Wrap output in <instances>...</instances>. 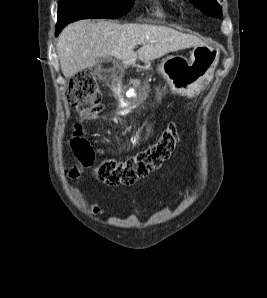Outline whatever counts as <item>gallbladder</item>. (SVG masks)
<instances>
[{
  "mask_svg": "<svg viewBox=\"0 0 267 298\" xmlns=\"http://www.w3.org/2000/svg\"><path fill=\"white\" fill-rule=\"evenodd\" d=\"M106 60H112V58L111 57L99 58V59H97V63L102 62V61H106Z\"/></svg>",
  "mask_w": 267,
  "mask_h": 298,
  "instance_id": "bac80fb5",
  "label": "gallbladder"
}]
</instances>
